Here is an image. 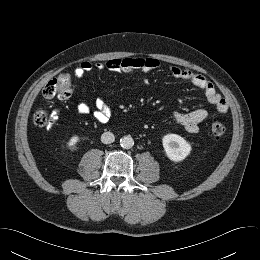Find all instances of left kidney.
Returning a JSON list of instances; mask_svg holds the SVG:
<instances>
[{"label":"left kidney","instance_id":"5707ae66","mask_svg":"<svg viewBox=\"0 0 260 260\" xmlns=\"http://www.w3.org/2000/svg\"><path fill=\"white\" fill-rule=\"evenodd\" d=\"M162 144L167 157L174 162L184 160L192 150L191 145L177 134L165 135Z\"/></svg>","mask_w":260,"mask_h":260}]
</instances>
